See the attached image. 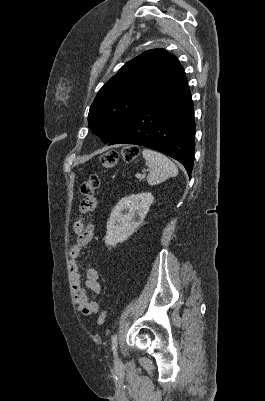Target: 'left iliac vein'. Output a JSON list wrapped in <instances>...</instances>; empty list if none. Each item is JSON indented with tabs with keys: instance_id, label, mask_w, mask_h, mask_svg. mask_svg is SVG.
I'll return each instance as SVG.
<instances>
[{
	"instance_id": "obj_1",
	"label": "left iliac vein",
	"mask_w": 265,
	"mask_h": 401,
	"mask_svg": "<svg viewBox=\"0 0 265 401\" xmlns=\"http://www.w3.org/2000/svg\"><path fill=\"white\" fill-rule=\"evenodd\" d=\"M116 363L118 364V358L116 359Z\"/></svg>"
}]
</instances>
